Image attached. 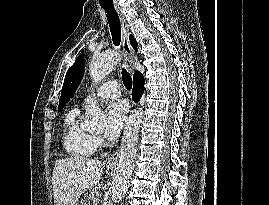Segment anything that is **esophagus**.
Masks as SVG:
<instances>
[{
	"label": "esophagus",
	"mask_w": 269,
	"mask_h": 205,
	"mask_svg": "<svg viewBox=\"0 0 269 205\" xmlns=\"http://www.w3.org/2000/svg\"><path fill=\"white\" fill-rule=\"evenodd\" d=\"M116 11L118 13L120 22H121V31H122V46L124 50V65L128 72L132 73V62L135 57V51L130 45L129 41V28L127 19L123 13V9L121 7H116ZM120 155V149H117L108 159L105 161V165H115L118 161Z\"/></svg>",
	"instance_id": "obj_1"
}]
</instances>
